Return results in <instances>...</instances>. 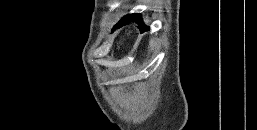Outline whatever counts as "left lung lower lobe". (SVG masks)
<instances>
[{
	"instance_id": "obj_1",
	"label": "left lung lower lobe",
	"mask_w": 257,
	"mask_h": 130,
	"mask_svg": "<svg viewBox=\"0 0 257 130\" xmlns=\"http://www.w3.org/2000/svg\"><path fill=\"white\" fill-rule=\"evenodd\" d=\"M129 21H136L138 24L142 25V27L140 28L142 32L149 29L148 26L144 25L141 14H128V15L124 16L120 20V22L114 26V29L118 28L119 26H122V24L129 22Z\"/></svg>"
}]
</instances>
